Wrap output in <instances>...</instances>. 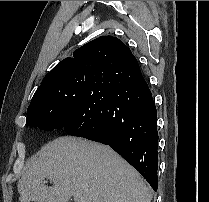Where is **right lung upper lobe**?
<instances>
[{
    "mask_svg": "<svg viewBox=\"0 0 209 202\" xmlns=\"http://www.w3.org/2000/svg\"><path fill=\"white\" fill-rule=\"evenodd\" d=\"M134 59L136 58L131 50L122 41L113 36H101L75 50L73 58L68 57L59 62L44 77L35 94L50 78L75 73L100 77L110 69H126L128 63ZM32 102L33 98L30 105ZM29 123L30 119L27 118L26 126Z\"/></svg>",
    "mask_w": 209,
    "mask_h": 202,
    "instance_id": "1",
    "label": "right lung upper lobe"
}]
</instances>
